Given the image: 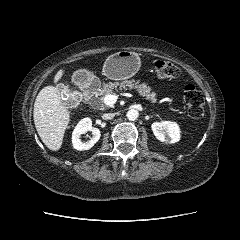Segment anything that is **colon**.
<instances>
[{
    "mask_svg": "<svg viewBox=\"0 0 240 240\" xmlns=\"http://www.w3.org/2000/svg\"><path fill=\"white\" fill-rule=\"evenodd\" d=\"M154 73L160 80H172L179 75L178 67L172 62L158 60L154 64ZM183 100L190 117L199 118L204 112L203 95L192 84L183 89Z\"/></svg>",
    "mask_w": 240,
    "mask_h": 240,
    "instance_id": "1",
    "label": "colon"
}]
</instances>
